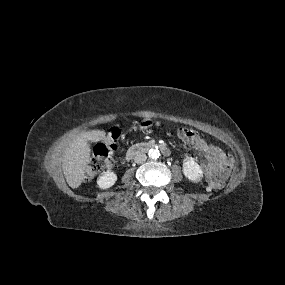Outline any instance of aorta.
Returning <instances> with one entry per match:
<instances>
[{
	"label": "aorta",
	"instance_id": "1",
	"mask_svg": "<svg viewBox=\"0 0 285 285\" xmlns=\"http://www.w3.org/2000/svg\"><path fill=\"white\" fill-rule=\"evenodd\" d=\"M160 156V152L157 148H152L149 150V157L151 159H157Z\"/></svg>",
	"mask_w": 285,
	"mask_h": 285
}]
</instances>
